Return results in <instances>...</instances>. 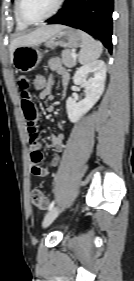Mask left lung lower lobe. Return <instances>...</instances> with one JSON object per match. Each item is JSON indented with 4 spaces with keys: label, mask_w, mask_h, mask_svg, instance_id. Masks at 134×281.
Wrapping results in <instances>:
<instances>
[{
    "label": "left lung lower lobe",
    "mask_w": 134,
    "mask_h": 281,
    "mask_svg": "<svg viewBox=\"0 0 134 281\" xmlns=\"http://www.w3.org/2000/svg\"><path fill=\"white\" fill-rule=\"evenodd\" d=\"M113 0H67L56 17L46 20L49 24H63L95 35L112 51Z\"/></svg>",
    "instance_id": "1"
}]
</instances>
